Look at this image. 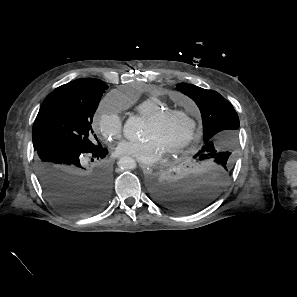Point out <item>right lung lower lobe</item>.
Masks as SVG:
<instances>
[{"instance_id":"obj_1","label":"right lung lower lobe","mask_w":297,"mask_h":297,"mask_svg":"<svg viewBox=\"0 0 297 297\" xmlns=\"http://www.w3.org/2000/svg\"><path fill=\"white\" fill-rule=\"evenodd\" d=\"M36 171L50 202L71 214H92L108 200L111 175L102 165L88 169L83 157L103 159L108 151L101 146L84 151L66 143H48L36 149ZM93 161V159H92Z\"/></svg>"}]
</instances>
